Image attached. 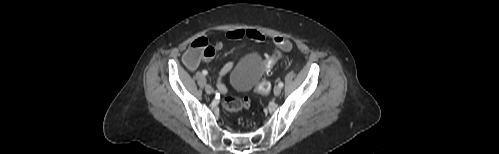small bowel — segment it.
Instances as JSON below:
<instances>
[{
  "mask_svg": "<svg viewBox=\"0 0 499 154\" xmlns=\"http://www.w3.org/2000/svg\"><path fill=\"white\" fill-rule=\"evenodd\" d=\"M244 37L250 38L256 42H261L264 40V35L254 29H235L227 32L225 35V38L227 40H239ZM223 48H224V41H218L214 45V49L217 51H220ZM234 64H235L234 62H228L220 70L219 79H218V88L222 93L227 92V88L223 84L222 79L233 68ZM197 65L190 66V68L195 69Z\"/></svg>",
  "mask_w": 499,
  "mask_h": 154,
  "instance_id": "obj_1",
  "label": "small bowel"
}]
</instances>
